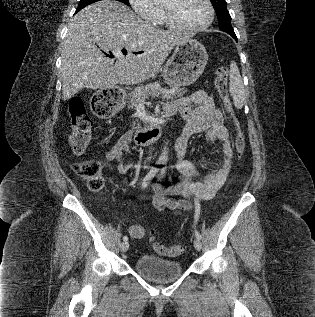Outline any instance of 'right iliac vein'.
Wrapping results in <instances>:
<instances>
[{"label":"right iliac vein","mask_w":315,"mask_h":317,"mask_svg":"<svg viewBox=\"0 0 315 317\" xmlns=\"http://www.w3.org/2000/svg\"><path fill=\"white\" fill-rule=\"evenodd\" d=\"M120 248L122 252H126L129 248V243L127 241L121 243Z\"/></svg>","instance_id":"1"}]
</instances>
